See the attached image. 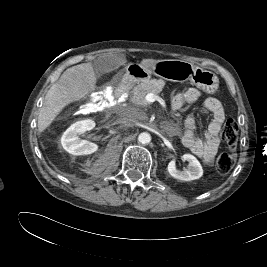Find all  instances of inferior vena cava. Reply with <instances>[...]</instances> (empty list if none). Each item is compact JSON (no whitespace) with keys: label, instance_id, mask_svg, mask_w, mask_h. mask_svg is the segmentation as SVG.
<instances>
[{"label":"inferior vena cava","instance_id":"602c4592","mask_svg":"<svg viewBox=\"0 0 267 267\" xmlns=\"http://www.w3.org/2000/svg\"><path fill=\"white\" fill-rule=\"evenodd\" d=\"M118 123L125 127H133L137 124L136 113L131 108H123L119 112Z\"/></svg>","mask_w":267,"mask_h":267}]
</instances>
